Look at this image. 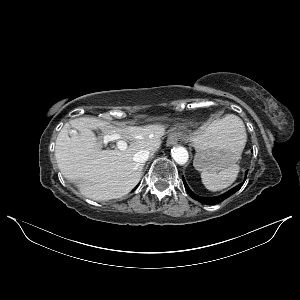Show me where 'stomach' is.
Here are the masks:
<instances>
[{
    "label": "stomach",
    "mask_w": 300,
    "mask_h": 300,
    "mask_svg": "<svg viewBox=\"0 0 300 300\" xmlns=\"http://www.w3.org/2000/svg\"><path fill=\"white\" fill-rule=\"evenodd\" d=\"M190 140L196 150L194 167L203 172L215 173L235 164L245 147L232 121H213Z\"/></svg>",
    "instance_id": "0dacf381"
}]
</instances>
